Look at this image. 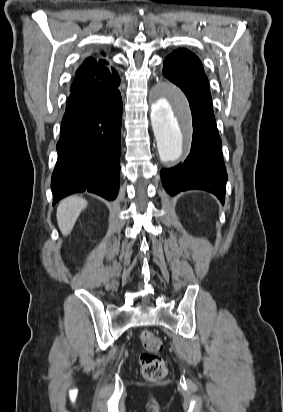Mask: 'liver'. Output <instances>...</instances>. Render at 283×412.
<instances>
[{"label":"liver","mask_w":283,"mask_h":412,"mask_svg":"<svg viewBox=\"0 0 283 412\" xmlns=\"http://www.w3.org/2000/svg\"><path fill=\"white\" fill-rule=\"evenodd\" d=\"M87 206V201L81 197H68L60 202L57 208V222L63 236L71 233L81 211Z\"/></svg>","instance_id":"liver-1"}]
</instances>
